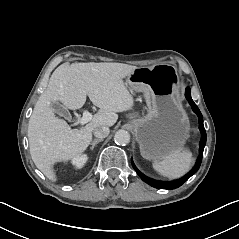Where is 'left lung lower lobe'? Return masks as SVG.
I'll use <instances>...</instances> for the list:
<instances>
[{
	"label": "left lung lower lobe",
	"mask_w": 239,
	"mask_h": 239,
	"mask_svg": "<svg viewBox=\"0 0 239 239\" xmlns=\"http://www.w3.org/2000/svg\"><path fill=\"white\" fill-rule=\"evenodd\" d=\"M185 96H186L189 104L191 105L192 110L197 114V116L199 118V129L201 132L199 158H198V161H197L195 167L188 174H186L184 177H182L178 180L171 181V182H160V181H156V180H153V179H150V178L144 176L142 173H140L136 169V167L134 166V164L132 162V166L135 169V171L137 172V174L140 176V178L144 182L149 184L150 186L158 188V189H175V188L180 187L184 182H186L193 174H195L198 171V169L200 168V165H201L203 150H204V146L206 144V131H205L204 125H203V117H202V114H201L199 108L197 107V105L194 103V101L191 98V93H190L189 87L186 88Z\"/></svg>",
	"instance_id": "obj_1"
}]
</instances>
